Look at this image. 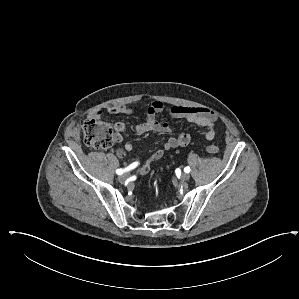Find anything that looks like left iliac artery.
<instances>
[{"label": "left iliac artery", "mask_w": 299, "mask_h": 299, "mask_svg": "<svg viewBox=\"0 0 299 299\" xmlns=\"http://www.w3.org/2000/svg\"><path fill=\"white\" fill-rule=\"evenodd\" d=\"M184 172H185V173H189V172H190V167H188V166L185 167V168H184Z\"/></svg>", "instance_id": "obj_1"}]
</instances>
